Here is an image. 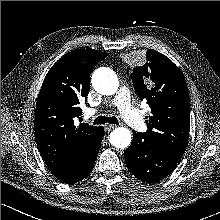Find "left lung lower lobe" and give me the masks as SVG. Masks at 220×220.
Returning a JSON list of instances; mask_svg holds the SVG:
<instances>
[{
    "label": "left lung lower lobe",
    "mask_w": 220,
    "mask_h": 220,
    "mask_svg": "<svg viewBox=\"0 0 220 220\" xmlns=\"http://www.w3.org/2000/svg\"><path fill=\"white\" fill-rule=\"evenodd\" d=\"M124 157L128 170L138 179L154 183L169 175L182 154L161 146L143 133L133 131Z\"/></svg>",
    "instance_id": "obj_1"
}]
</instances>
